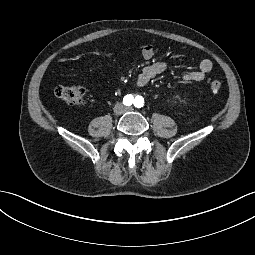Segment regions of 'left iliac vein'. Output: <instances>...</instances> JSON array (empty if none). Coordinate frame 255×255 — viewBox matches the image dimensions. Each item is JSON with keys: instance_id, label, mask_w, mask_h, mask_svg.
Returning a JSON list of instances; mask_svg holds the SVG:
<instances>
[{"instance_id": "4c4485c4", "label": "left iliac vein", "mask_w": 255, "mask_h": 255, "mask_svg": "<svg viewBox=\"0 0 255 255\" xmlns=\"http://www.w3.org/2000/svg\"><path fill=\"white\" fill-rule=\"evenodd\" d=\"M130 110H132V108H130V107H129V108H126V111H130Z\"/></svg>"}]
</instances>
